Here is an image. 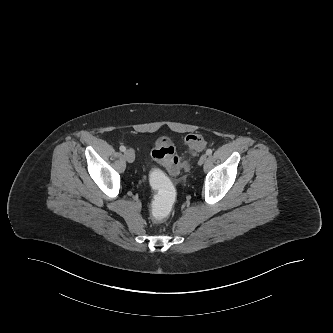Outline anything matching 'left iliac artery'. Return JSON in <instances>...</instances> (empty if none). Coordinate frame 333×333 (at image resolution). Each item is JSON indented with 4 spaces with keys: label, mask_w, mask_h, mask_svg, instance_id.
I'll list each match as a JSON object with an SVG mask.
<instances>
[{
    "label": "left iliac artery",
    "mask_w": 333,
    "mask_h": 333,
    "mask_svg": "<svg viewBox=\"0 0 333 333\" xmlns=\"http://www.w3.org/2000/svg\"><path fill=\"white\" fill-rule=\"evenodd\" d=\"M206 154H207V155H211V154H212V150H211V149H207V150H206Z\"/></svg>",
    "instance_id": "1"
}]
</instances>
